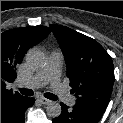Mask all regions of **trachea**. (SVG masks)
<instances>
[{
	"instance_id": "trachea-1",
	"label": "trachea",
	"mask_w": 123,
	"mask_h": 123,
	"mask_svg": "<svg viewBox=\"0 0 123 123\" xmlns=\"http://www.w3.org/2000/svg\"><path fill=\"white\" fill-rule=\"evenodd\" d=\"M20 93L25 96H32L34 92L31 89L20 88ZM44 96L50 100H57V96L52 93H45Z\"/></svg>"
}]
</instances>
